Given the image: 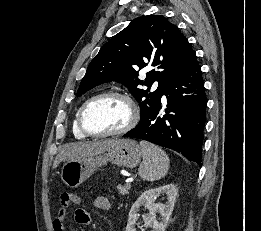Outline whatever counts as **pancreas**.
<instances>
[{
    "mask_svg": "<svg viewBox=\"0 0 261 231\" xmlns=\"http://www.w3.org/2000/svg\"><path fill=\"white\" fill-rule=\"evenodd\" d=\"M116 188L120 195H126L129 193L128 191L130 190L131 186L130 185H125V186L118 185Z\"/></svg>",
    "mask_w": 261,
    "mask_h": 231,
    "instance_id": "obj_1",
    "label": "pancreas"
}]
</instances>
